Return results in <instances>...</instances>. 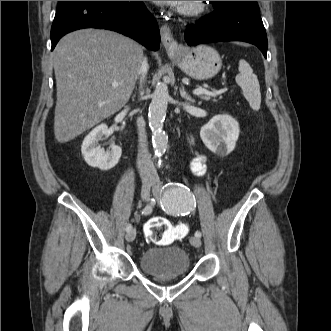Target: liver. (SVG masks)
Masks as SVG:
<instances>
[{"label": "liver", "mask_w": 331, "mask_h": 331, "mask_svg": "<svg viewBox=\"0 0 331 331\" xmlns=\"http://www.w3.org/2000/svg\"><path fill=\"white\" fill-rule=\"evenodd\" d=\"M142 60L140 44L108 30L82 29L61 38L53 52L55 139L66 143L122 109Z\"/></svg>", "instance_id": "6515ba94"}]
</instances>
